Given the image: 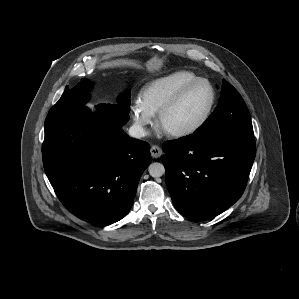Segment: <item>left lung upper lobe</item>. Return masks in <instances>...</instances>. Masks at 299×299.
Returning <instances> with one entry per match:
<instances>
[{
    "instance_id": "obj_1",
    "label": "left lung upper lobe",
    "mask_w": 299,
    "mask_h": 299,
    "mask_svg": "<svg viewBox=\"0 0 299 299\" xmlns=\"http://www.w3.org/2000/svg\"><path fill=\"white\" fill-rule=\"evenodd\" d=\"M194 135L208 138L254 136L248 108L226 80H223L218 106Z\"/></svg>"
}]
</instances>
